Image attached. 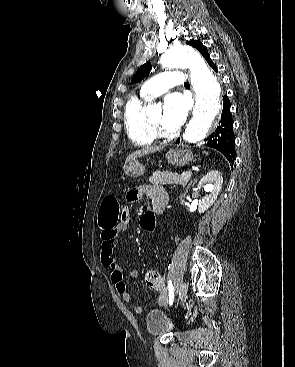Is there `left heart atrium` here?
<instances>
[{"label":"left heart atrium","mask_w":295,"mask_h":367,"mask_svg":"<svg viewBox=\"0 0 295 367\" xmlns=\"http://www.w3.org/2000/svg\"><path fill=\"white\" fill-rule=\"evenodd\" d=\"M189 109L188 99L180 93H171L164 99L162 126L168 131L177 130L185 121Z\"/></svg>","instance_id":"obj_1"}]
</instances>
